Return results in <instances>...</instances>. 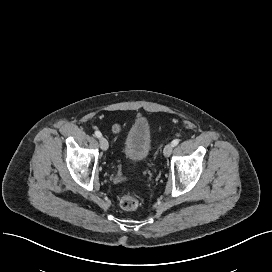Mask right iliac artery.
Segmentation results:
<instances>
[{"label": "right iliac artery", "mask_w": 272, "mask_h": 272, "mask_svg": "<svg viewBox=\"0 0 272 272\" xmlns=\"http://www.w3.org/2000/svg\"><path fill=\"white\" fill-rule=\"evenodd\" d=\"M95 136L97 138H100L102 136L101 132L100 131H95Z\"/></svg>", "instance_id": "right-iliac-artery-1"}]
</instances>
